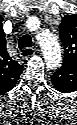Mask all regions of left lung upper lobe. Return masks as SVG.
Segmentation results:
<instances>
[{"label": "left lung upper lobe", "instance_id": "1", "mask_svg": "<svg viewBox=\"0 0 77 125\" xmlns=\"http://www.w3.org/2000/svg\"><path fill=\"white\" fill-rule=\"evenodd\" d=\"M60 37L64 44V62L60 70L52 75V83L59 91H67L68 77L72 65L77 61V17L66 15L59 26Z\"/></svg>", "mask_w": 77, "mask_h": 125}]
</instances>
